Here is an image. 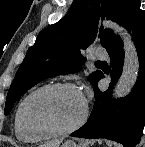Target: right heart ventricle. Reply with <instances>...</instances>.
I'll list each match as a JSON object with an SVG mask.
<instances>
[{
	"label": "right heart ventricle",
	"instance_id": "obj_1",
	"mask_svg": "<svg viewBox=\"0 0 145 147\" xmlns=\"http://www.w3.org/2000/svg\"><path fill=\"white\" fill-rule=\"evenodd\" d=\"M23 100L20 102L16 109L15 113V118H14V133L16 138L21 141V142H34V141H39L45 138V136L38 134V133H31L28 132L22 125L20 118H19V113H20V108L22 105Z\"/></svg>",
	"mask_w": 145,
	"mask_h": 147
}]
</instances>
